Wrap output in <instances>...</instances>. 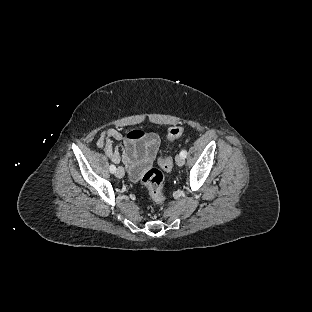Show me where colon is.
I'll return each mask as SVG.
<instances>
[{"label":"colon","instance_id":"obj_1","mask_svg":"<svg viewBox=\"0 0 312 312\" xmlns=\"http://www.w3.org/2000/svg\"><path fill=\"white\" fill-rule=\"evenodd\" d=\"M183 133L182 128L172 127L168 132L169 141H174L181 137ZM159 164L166 170L171 171L173 169V160L170 156L161 157ZM163 169V170H164ZM163 173V172H162ZM158 168H150L143 176V183L147 187L151 199L157 203L164 202V196L162 192V183L164 180V175Z\"/></svg>","mask_w":312,"mask_h":312}]
</instances>
